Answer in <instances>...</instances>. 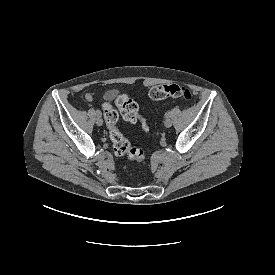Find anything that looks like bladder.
<instances>
[{"label":"bladder","instance_id":"31cf9c89","mask_svg":"<svg viewBox=\"0 0 275 275\" xmlns=\"http://www.w3.org/2000/svg\"><path fill=\"white\" fill-rule=\"evenodd\" d=\"M115 95V90H108L104 93L103 97L105 99H110Z\"/></svg>","mask_w":275,"mask_h":275}]
</instances>
